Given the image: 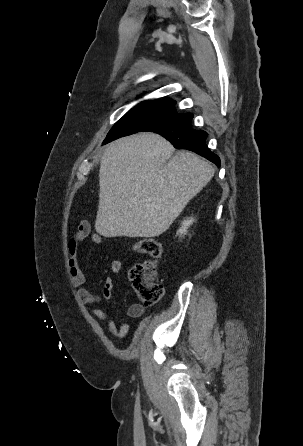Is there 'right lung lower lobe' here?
<instances>
[{
    "label": "right lung lower lobe",
    "instance_id": "right-lung-lower-lobe-1",
    "mask_svg": "<svg viewBox=\"0 0 303 446\" xmlns=\"http://www.w3.org/2000/svg\"><path fill=\"white\" fill-rule=\"evenodd\" d=\"M192 118L191 113L176 112L157 120L141 132L158 133L170 141L175 148L193 151L219 167V157L206 146L208 134L205 131L193 129L191 127Z\"/></svg>",
    "mask_w": 303,
    "mask_h": 446
}]
</instances>
